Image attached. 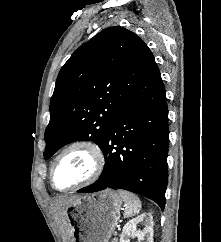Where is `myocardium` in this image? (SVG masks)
I'll return each instance as SVG.
<instances>
[{
  "mask_svg": "<svg viewBox=\"0 0 221 242\" xmlns=\"http://www.w3.org/2000/svg\"><path fill=\"white\" fill-rule=\"evenodd\" d=\"M74 148H83L89 152V154L91 155V157L93 159L92 172L86 179L82 180L81 182H79L71 187L58 188L55 186L54 180H53V173H54L55 166H56L57 162L59 161V159L67 151L74 149ZM104 164H105L104 153L98 144H96L95 142H93L91 140H87V139L74 140V141L70 142L69 144H67L66 146H64L54 157V159L51 163V166H50V170H49L50 185L52 186V188H54L58 191H62V192L73 191V190H77L79 188L85 187V186L93 183L94 181H96L99 178V176L101 175V173L103 171Z\"/></svg>",
  "mask_w": 221,
  "mask_h": 242,
  "instance_id": "myocardium-1",
  "label": "myocardium"
}]
</instances>
